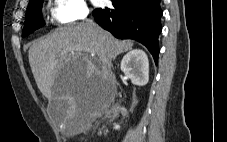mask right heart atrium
Masks as SVG:
<instances>
[{"label":"right heart atrium","mask_w":227,"mask_h":142,"mask_svg":"<svg viewBox=\"0 0 227 142\" xmlns=\"http://www.w3.org/2000/svg\"><path fill=\"white\" fill-rule=\"evenodd\" d=\"M89 9L84 0H53L52 19L68 24L87 19Z\"/></svg>","instance_id":"obj_1"}]
</instances>
